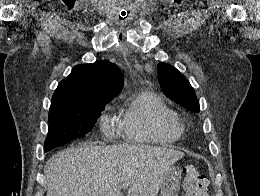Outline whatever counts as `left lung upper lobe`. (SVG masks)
<instances>
[{
    "mask_svg": "<svg viewBox=\"0 0 260 196\" xmlns=\"http://www.w3.org/2000/svg\"><path fill=\"white\" fill-rule=\"evenodd\" d=\"M158 81L167 97L193 112L200 111L193 87L176 68L159 63Z\"/></svg>",
    "mask_w": 260,
    "mask_h": 196,
    "instance_id": "5c2ea615",
    "label": "left lung upper lobe"
}]
</instances>
